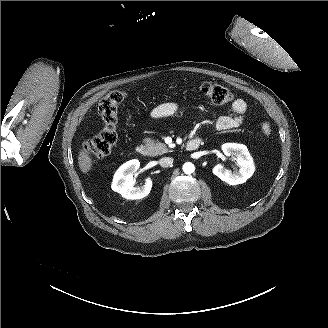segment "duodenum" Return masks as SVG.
<instances>
[{
	"instance_id": "duodenum-1",
	"label": "duodenum",
	"mask_w": 328,
	"mask_h": 328,
	"mask_svg": "<svg viewBox=\"0 0 328 328\" xmlns=\"http://www.w3.org/2000/svg\"><path fill=\"white\" fill-rule=\"evenodd\" d=\"M201 145L200 138H193L186 143V150L194 151L197 150ZM136 152L141 156H146L148 154V148L144 144H139L136 147Z\"/></svg>"
}]
</instances>
